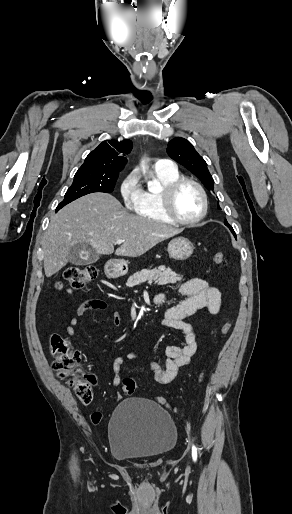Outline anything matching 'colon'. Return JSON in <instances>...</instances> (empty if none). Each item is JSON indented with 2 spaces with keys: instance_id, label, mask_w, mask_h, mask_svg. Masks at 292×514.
Returning a JSON list of instances; mask_svg holds the SVG:
<instances>
[{
  "instance_id": "1",
  "label": "colon",
  "mask_w": 292,
  "mask_h": 514,
  "mask_svg": "<svg viewBox=\"0 0 292 514\" xmlns=\"http://www.w3.org/2000/svg\"><path fill=\"white\" fill-rule=\"evenodd\" d=\"M213 263L217 266H225L226 256L223 252L217 251L213 255ZM98 270L94 266L71 267L64 274V281L57 285L58 290L70 293L79 290L96 279ZM231 322L224 323L220 328L221 336H225L231 329ZM50 351L53 357V370L61 378L72 377L82 362V355L79 350L72 348L67 338L61 335H52L50 338ZM204 374L200 376L202 382ZM92 378L83 375L72 382L73 390L80 403L88 405L93 400ZM121 388L127 396L133 395L137 385L134 379L127 378L122 382ZM157 402L162 406L168 403L163 397H158ZM101 414L98 411L92 412L90 419L93 423L98 422Z\"/></svg>"
}]
</instances>
